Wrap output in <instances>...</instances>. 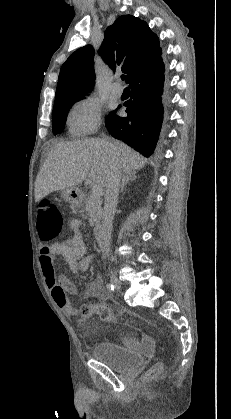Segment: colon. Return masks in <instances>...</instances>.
<instances>
[{
    "label": "colon",
    "instance_id": "colon-1",
    "mask_svg": "<svg viewBox=\"0 0 231 419\" xmlns=\"http://www.w3.org/2000/svg\"><path fill=\"white\" fill-rule=\"evenodd\" d=\"M38 230L43 241H52L56 239L62 229V214L53 200L44 199L41 201L38 209ZM84 317L97 314L102 320L109 321L115 319V316L108 307L96 305H84L80 308ZM161 372V365L157 364L148 370L143 380L148 381Z\"/></svg>",
    "mask_w": 231,
    "mask_h": 419
}]
</instances>
